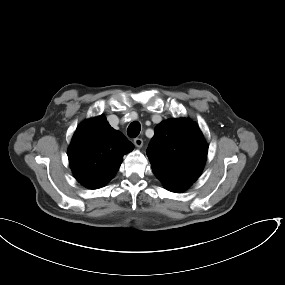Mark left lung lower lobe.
I'll return each instance as SVG.
<instances>
[{"mask_svg":"<svg viewBox=\"0 0 285 285\" xmlns=\"http://www.w3.org/2000/svg\"><path fill=\"white\" fill-rule=\"evenodd\" d=\"M158 179L163 183L164 187L171 192L181 193L190 186L189 184L183 182L169 181L160 178Z\"/></svg>","mask_w":285,"mask_h":285,"instance_id":"0a47b994","label":"left lung lower lobe"}]
</instances>
